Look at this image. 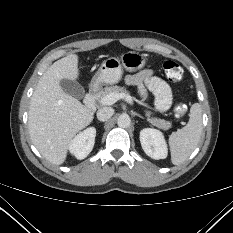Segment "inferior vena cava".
I'll use <instances>...</instances> for the list:
<instances>
[{
    "instance_id": "602c4592",
    "label": "inferior vena cava",
    "mask_w": 233,
    "mask_h": 233,
    "mask_svg": "<svg viewBox=\"0 0 233 233\" xmlns=\"http://www.w3.org/2000/svg\"><path fill=\"white\" fill-rule=\"evenodd\" d=\"M114 114V109L111 107H103L97 111V118L99 121H107Z\"/></svg>"
}]
</instances>
